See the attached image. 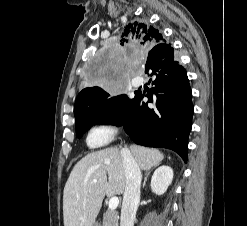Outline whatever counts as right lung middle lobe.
Segmentation results:
<instances>
[{"mask_svg":"<svg viewBox=\"0 0 247 226\" xmlns=\"http://www.w3.org/2000/svg\"><path fill=\"white\" fill-rule=\"evenodd\" d=\"M127 100V95L112 96L101 88L100 92L83 101L75 117L77 138H81L94 124L105 123Z\"/></svg>","mask_w":247,"mask_h":226,"instance_id":"dd1d6c3e","label":"right lung middle lobe"}]
</instances>
